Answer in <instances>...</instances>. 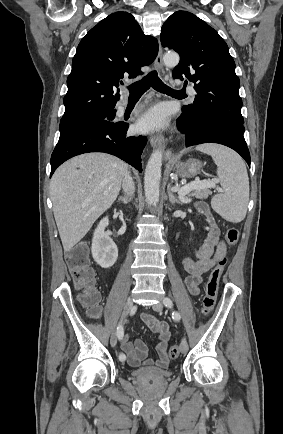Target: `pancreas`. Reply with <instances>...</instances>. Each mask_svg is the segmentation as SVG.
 Returning <instances> with one entry per match:
<instances>
[{"mask_svg": "<svg viewBox=\"0 0 283 434\" xmlns=\"http://www.w3.org/2000/svg\"><path fill=\"white\" fill-rule=\"evenodd\" d=\"M209 187H200L193 189V191L188 194V197H195L197 199H206L211 194V191L208 189Z\"/></svg>", "mask_w": 283, "mask_h": 434, "instance_id": "1", "label": "pancreas"}]
</instances>
